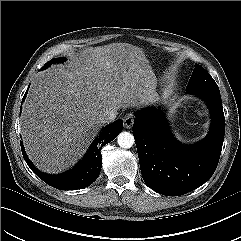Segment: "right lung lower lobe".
<instances>
[{
	"label": "right lung lower lobe",
	"mask_w": 241,
	"mask_h": 241,
	"mask_svg": "<svg viewBox=\"0 0 241 241\" xmlns=\"http://www.w3.org/2000/svg\"><path fill=\"white\" fill-rule=\"evenodd\" d=\"M26 93L23 100L25 99ZM122 128V120H117L104 128L82 161L72 170L60 175H48L34 167L28 159L23 144L20 141L21 150L29 168L48 185L60 190L82 189L92 184L98 178L102 167L101 149L104 145L113 141L122 131Z\"/></svg>",
	"instance_id": "obj_1"
}]
</instances>
